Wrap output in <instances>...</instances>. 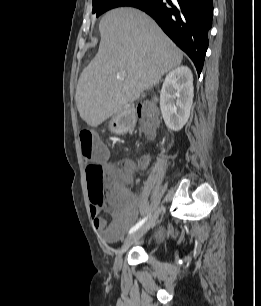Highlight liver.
Segmentation results:
<instances>
[{
    "label": "liver",
    "instance_id": "obj_1",
    "mask_svg": "<svg viewBox=\"0 0 261 306\" xmlns=\"http://www.w3.org/2000/svg\"><path fill=\"white\" fill-rule=\"evenodd\" d=\"M99 31L98 53L81 73L75 97L80 117L92 127L139 99L183 59L156 22L138 9L108 11Z\"/></svg>",
    "mask_w": 261,
    "mask_h": 306
}]
</instances>
